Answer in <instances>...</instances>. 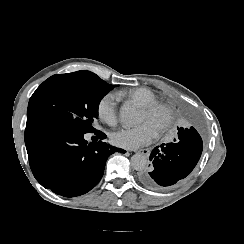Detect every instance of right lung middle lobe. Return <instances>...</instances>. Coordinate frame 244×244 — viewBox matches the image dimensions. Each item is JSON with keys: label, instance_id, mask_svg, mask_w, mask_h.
<instances>
[{"label": "right lung middle lobe", "instance_id": "obj_1", "mask_svg": "<svg viewBox=\"0 0 244 244\" xmlns=\"http://www.w3.org/2000/svg\"><path fill=\"white\" fill-rule=\"evenodd\" d=\"M113 88L90 71L53 75L31 96L27 124L43 123L72 132L92 133L99 103Z\"/></svg>", "mask_w": 244, "mask_h": 244}]
</instances>
